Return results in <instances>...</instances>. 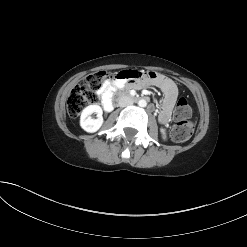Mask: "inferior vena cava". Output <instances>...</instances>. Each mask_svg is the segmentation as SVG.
I'll return each instance as SVG.
<instances>
[{"instance_id":"1","label":"inferior vena cava","mask_w":247,"mask_h":247,"mask_svg":"<svg viewBox=\"0 0 247 247\" xmlns=\"http://www.w3.org/2000/svg\"><path fill=\"white\" fill-rule=\"evenodd\" d=\"M133 104V100L129 95H121L118 99V105L120 107H126Z\"/></svg>"}]
</instances>
